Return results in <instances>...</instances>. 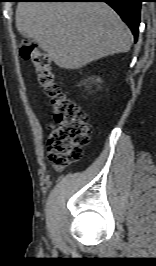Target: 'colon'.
Instances as JSON below:
<instances>
[{"label":"colon","instance_id":"1","mask_svg":"<svg viewBox=\"0 0 156 266\" xmlns=\"http://www.w3.org/2000/svg\"><path fill=\"white\" fill-rule=\"evenodd\" d=\"M19 53L24 60L31 61L36 81L49 100L53 123L48 159L55 169H63L81 157L82 148L89 142L88 115L62 90L46 53L29 40L20 43Z\"/></svg>","mask_w":156,"mask_h":266}]
</instances>
